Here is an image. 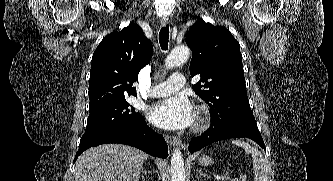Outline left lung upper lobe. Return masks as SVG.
<instances>
[{
	"instance_id": "5c2ea615",
	"label": "left lung upper lobe",
	"mask_w": 333,
	"mask_h": 181,
	"mask_svg": "<svg viewBox=\"0 0 333 181\" xmlns=\"http://www.w3.org/2000/svg\"><path fill=\"white\" fill-rule=\"evenodd\" d=\"M186 43L192 50L191 76H201L192 88L211 114L229 115L237 125L259 132L246 93L240 45L231 32L202 20L192 25Z\"/></svg>"
}]
</instances>
